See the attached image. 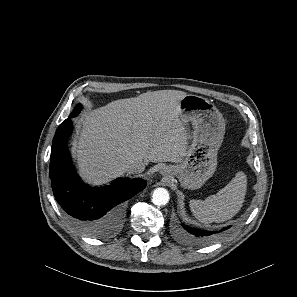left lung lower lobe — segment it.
I'll return each mask as SVG.
<instances>
[{
  "instance_id": "obj_1",
  "label": "left lung lower lobe",
  "mask_w": 297,
  "mask_h": 297,
  "mask_svg": "<svg viewBox=\"0 0 297 297\" xmlns=\"http://www.w3.org/2000/svg\"><path fill=\"white\" fill-rule=\"evenodd\" d=\"M229 227L223 228L227 230ZM219 232L217 231H207L201 230L198 228H192L187 225L182 224L181 226L176 227L177 237L188 244H205L213 241Z\"/></svg>"
}]
</instances>
